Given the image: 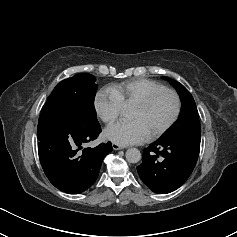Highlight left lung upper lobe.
Returning <instances> with one entry per match:
<instances>
[{"instance_id":"obj_1","label":"left lung upper lobe","mask_w":237,"mask_h":237,"mask_svg":"<svg viewBox=\"0 0 237 237\" xmlns=\"http://www.w3.org/2000/svg\"><path fill=\"white\" fill-rule=\"evenodd\" d=\"M171 83L180 96L182 109L178 120L161 136V139L201 137V127L195 101L190 92L179 82L163 77Z\"/></svg>"}]
</instances>
